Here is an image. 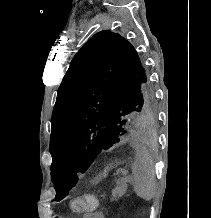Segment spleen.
Wrapping results in <instances>:
<instances>
[{"instance_id":"3e777b00","label":"spleen","mask_w":211,"mask_h":218,"mask_svg":"<svg viewBox=\"0 0 211 218\" xmlns=\"http://www.w3.org/2000/svg\"><path fill=\"white\" fill-rule=\"evenodd\" d=\"M134 192L143 200L154 198L156 180L151 158L144 150H136V158L132 164Z\"/></svg>"}]
</instances>
